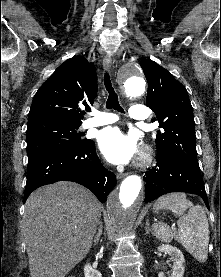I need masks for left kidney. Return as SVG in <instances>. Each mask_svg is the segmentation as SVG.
Wrapping results in <instances>:
<instances>
[{"label":"left kidney","instance_id":"left-kidney-1","mask_svg":"<svg viewBox=\"0 0 221 277\" xmlns=\"http://www.w3.org/2000/svg\"><path fill=\"white\" fill-rule=\"evenodd\" d=\"M159 252H165L173 258V272L169 277H183L184 274V256L177 247L169 244H163L158 247ZM158 277H165L163 272H159Z\"/></svg>","mask_w":221,"mask_h":277}]
</instances>
